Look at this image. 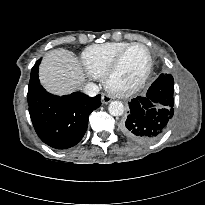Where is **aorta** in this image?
<instances>
[{"label": "aorta", "mask_w": 205, "mask_h": 205, "mask_svg": "<svg viewBox=\"0 0 205 205\" xmlns=\"http://www.w3.org/2000/svg\"><path fill=\"white\" fill-rule=\"evenodd\" d=\"M108 110L112 116H121L124 113V105L121 101H112L108 106Z\"/></svg>", "instance_id": "obj_1"}]
</instances>
